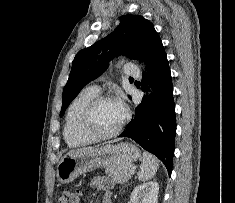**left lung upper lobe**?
<instances>
[{"instance_id":"left-lung-upper-lobe-1","label":"left lung upper lobe","mask_w":235,"mask_h":203,"mask_svg":"<svg viewBox=\"0 0 235 203\" xmlns=\"http://www.w3.org/2000/svg\"><path fill=\"white\" fill-rule=\"evenodd\" d=\"M159 40L153 25L143 16H122L115 31L91 47L80 50L75 56L69 79L63 89L60 116L80 90L106 70L111 59L117 55H126L146 61Z\"/></svg>"}]
</instances>
